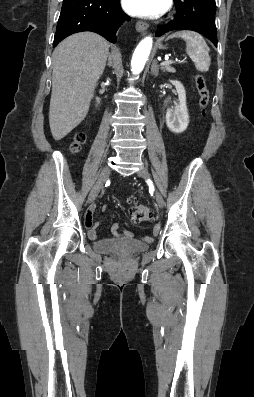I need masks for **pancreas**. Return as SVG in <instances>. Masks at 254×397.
Wrapping results in <instances>:
<instances>
[{
  "label": "pancreas",
  "mask_w": 254,
  "mask_h": 397,
  "mask_svg": "<svg viewBox=\"0 0 254 397\" xmlns=\"http://www.w3.org/2000/svg\"><path fill=\"white\" fill-rule=\"evenodd\" d=\"M162 70L166 71V72H170V73H175L176 72V70L173 67L169 66V65L163 66Z\"/></svg>",
  "instance_id": "1"
}]
</instances>
